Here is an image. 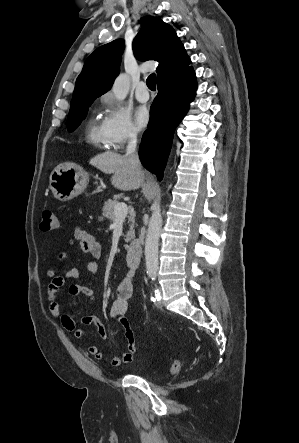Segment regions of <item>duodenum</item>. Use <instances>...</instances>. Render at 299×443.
I'll list each match as a JSON object with an SVG mask.
<instances>
[{
    "label": "duodenum",
    "mask_w": 299,
    "mask_h": 443,
    "mask_svg": "<svg viewBox=\"0 0 299 443\" xmlns=\"http://www.w3.org/2000/svg\"><path fill=\"white\" fill-rule=\"evenodd\" d=\"M142 245L139 239L133 240L127 247L126 260L129 266L135 267L140 264Z\"/></svg>",
    "instance_id": "410a0bca"
}]
</instances>
